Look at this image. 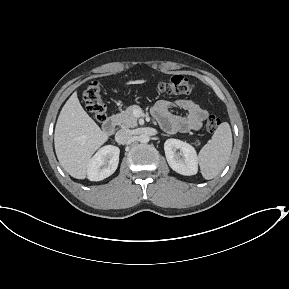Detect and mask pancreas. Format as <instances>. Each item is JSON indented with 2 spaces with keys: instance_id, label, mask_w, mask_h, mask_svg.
<instances>
[{
  "instance_id": "obj_1",
  "label": "pancreas",
  "mask_w": 289,
  "mask_h": 289,
  "mask_svg": "<svg viewBox=\"0 0 289 289\" xmlns=\"http://www.w3.org/2000/svg\"><path fill=\"white\" fill-rule=\"evenodd\" d=\"M135 110H141L138 105H131L124 111L113 116L116 123L123 128H134L137 126V117L134 116Z\"/></svg>"
}]
</instances>
